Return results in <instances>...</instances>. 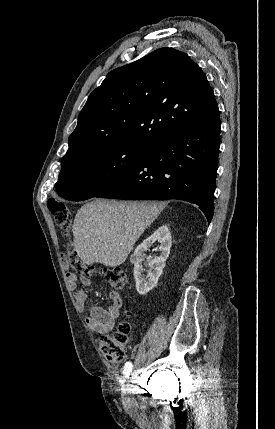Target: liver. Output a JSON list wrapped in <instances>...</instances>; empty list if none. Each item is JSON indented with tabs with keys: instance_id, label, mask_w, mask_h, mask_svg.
Returning <instances> with one entry per match:
<instances>
[{
	"instance_id": "6515ba94",
	"label": "liver",
	"mask_w": 275,
	"mask_h": 429,
	"mask_svg": "<svg viewBox=\"0 0 275 429\" xmlns=\"http://www.w3.org/2000/svg\"><path fill=\"white\" fill-rule=\"evenodd\" d=\"M163 207L162 202L104 199L88 202L77 211L74 219L75 250L87 265L119 266Z\"/></svg>"
}]
</instances>
